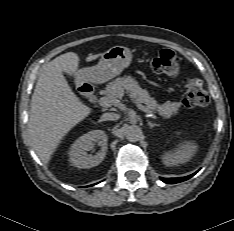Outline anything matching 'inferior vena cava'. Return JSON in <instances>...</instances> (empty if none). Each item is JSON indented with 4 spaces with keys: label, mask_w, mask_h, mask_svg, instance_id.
<instances>
[{
    "label": "inferior vena cava",
    "mask_w": 234,
    "mask_h": 231,
    "mask_svg": "<svg viewBox=\"0 0 234 231\" xmlns=\"http://www.w3.org/2000/svg\"><path fill=\"white\" fill-rule=\"evenodd\" d=\"M120 118V115L119 114H116V113H104L102 115V119L103 120H118Z\"/></svg>",
    "instance_id": "inferior-vena-cava-1"
}]
</instances>
